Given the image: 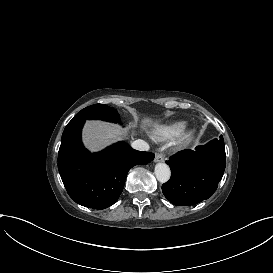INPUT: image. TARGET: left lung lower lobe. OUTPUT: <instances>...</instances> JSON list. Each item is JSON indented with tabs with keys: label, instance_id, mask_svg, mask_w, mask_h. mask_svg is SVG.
Returning <instances> with one entry per match:
<instances>
[{
	"label": "left lung lower lobe",
	"instance_id": "0a47b994",
	"mask_svg": "<svg viewBox=\"0 0 273 273\" xmlns=\"http://www.w3.org/2000/svg\"><path fill=\"white\" fill-rule=\"evenodd\" d=\"M166 163L171 168V179L162 185L167 200L179 206L206 200L216 191L225 170L223 136L195 150L181 151Z\"/></svg>",
	"mask_w": 273,
	"mask_h": 273
}]
</instances>
